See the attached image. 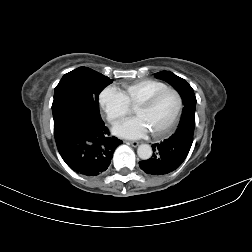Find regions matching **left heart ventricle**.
I'll return each instance as SVG.
<instances>
[{"instance_id":"obj_1","label":"left heart ventricle","mask_w":252,"mask_h":252,"mask_svg":"<svg viewBox=\"0 0 252 252\" xmlns=\"http://www.w3.org/2000/svg\"><path fill=\"white\" fill-rule=\"evenodd\" d=\"M178 100L173 92H166L159 96L148 107H137L135 115L142 118L150 132L164 128L177 108Z\"/></svg>"}]
</instances>
